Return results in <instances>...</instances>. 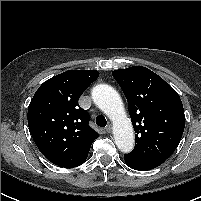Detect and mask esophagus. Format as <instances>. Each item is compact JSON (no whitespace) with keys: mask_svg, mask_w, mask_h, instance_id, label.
Returning a JSON list of instances; mask_svg holds the SVG:
<instances>
[{"mask_svg":"<svg viewBox=\"0 0 201 201\" xmlns=\"http://www.w3.org/2000/svg\"><path fill=\"white\" fill-rule=\"evenodd\" d=\"M105 131L107 132V133H110L111 131H112V125H107L106 127H105Z\"/></svg>","mask_w":201,"mask_h":201,"instance_id":"obj_1","label":"esophagus"}]
</instances>
